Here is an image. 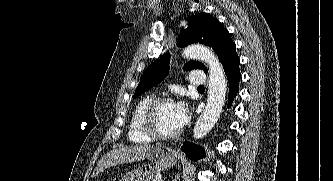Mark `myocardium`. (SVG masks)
<instances>
[{
  "label": "myocardium",
  "instance_id": "f54148a6",
  "mask_svg": "<svg viewBox=\"0 0 333 181\" xmlns=\"http://www.w3.org/2000/svg\"><path fill=\"white\" fill-rule=\"evenodd\" d=\"M165 104H174V100L170 97L155 98L147 105L142 114L141 123L143 130L152 139L171 140L178 137L181 133V129L172 133H163L158 129L156 124V115L161 106Z\"/></svg>",
  "mask_w": 333,
  "mask_h": 181
}]
</instances>
